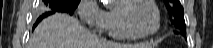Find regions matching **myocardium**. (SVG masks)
<instances>
[{
    "label": "myocardium",
    "mask_w": 213,
    "mask_h": 48,
    "mask_svg": "<svg viewBox=\"0 0 213 48\" xmlns=\"http://www.w3.org/2000/svg\"><path fill=\"white\" fill-rule=\"evenodd\" d=\"M138 1H144L145 3L149 4L154 12H155V18H156V27L151 32L142 33L139 32L131 23L129 17H128V10L129 8ZM118 13L121 20L122 25L124 28L133 36L138 38H146L150 37L154 34H156L160 28H161V17H160V11L156 5V3L153 0H122L118 5Z\"/></svg>",
    "instance_id": "myocardium-1"
}]
</instances>
